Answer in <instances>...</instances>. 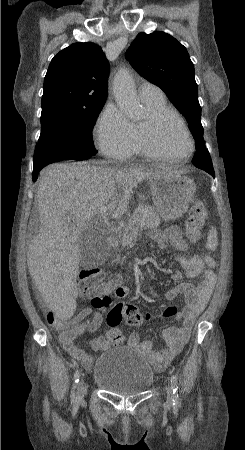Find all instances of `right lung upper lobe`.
<instances>
[{"label": "right lung upper lobe", "instance_id": "1", "mask_svg": "<svg viewBox=\"0 0 245 450\" xmlns=\"http://www.w3.org/2000/svg\"><path fill=\"white\" fill-rule=\"evenodd\" d=\"M109 63L100 46L75 43L52 59L44 79L42 109H92L107 99Z\"/></svg>", "mask_w": 245, "mask_h": 450}]
</instances>
